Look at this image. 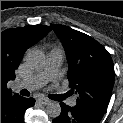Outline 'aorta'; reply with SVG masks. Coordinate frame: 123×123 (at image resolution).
I'll use <instances>...</instances> for the list:
<instances>
[{"instance_id": "762f6f07", "label": "aorta", "mask_w": 123, "mask_h": 123, "mask_svg": "<svg viewBox=\"0 0 123 123\" xmlns=\"http://www.w3.org/2000/svg\"><path fill=\"white\" fill-rule=\"evenodd\" d=\"M26 64L33 69H40L46 64V56L41 50H30L25 56ZM46 113L52 118L61 114V106L58 102H50L46 107Z\"/></svg>"}]
</instances>
